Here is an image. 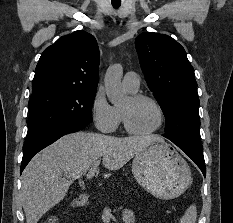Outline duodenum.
Wrapping results in <instances>:
<instances>
[{
	"instance_id": "obj_1",
	"label": "duodenum",
	"mask_w": 233,
	"mask_h": 223,
	"mask_svg": "<svg viewBox=\"0 0 233 223\" xmlns=\"http://www.w3.org/2000/svg\"><path fill=\"white\" fill-rule=\"evenodd\" d=\"M88 202V194L80 193L71 203L73 208L81 207Z\"/></svg>"
}]
</instances>
